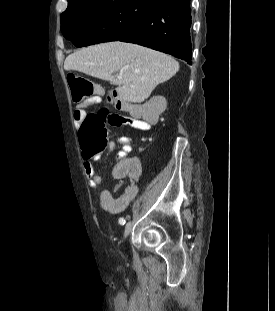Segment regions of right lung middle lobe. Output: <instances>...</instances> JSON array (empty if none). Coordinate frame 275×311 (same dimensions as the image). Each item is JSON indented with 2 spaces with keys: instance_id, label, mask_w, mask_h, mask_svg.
<instances>
[{
  "instance_id": "dd1d6c3e",
  "label": "right lung middle lobe",
  "mask_w": 275,
  "mask_h": 311,
  "mask_svg": "<svg viewBox=\"0 0 275 311\" xmlns=\"http://www.w3.org/2000/svg\"><path fill=\"white\" fill-rule=\"evenodd\" d=\"M162 0H83L68 3L61 31L76 47L114 41Z\"/></svg>"
}]
</instances>
